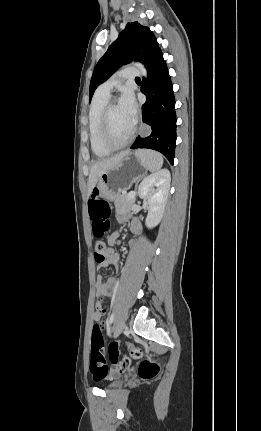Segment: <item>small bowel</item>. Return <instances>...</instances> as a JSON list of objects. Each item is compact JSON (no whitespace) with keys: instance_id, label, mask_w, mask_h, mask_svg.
Listing matches in <instances>:
<instances>
[{"instance_id":"c3829d8e","label":"small bowel","mask_w":261,"mask_h":431,"mask_svg":"<svg viewBox=\"0 0 261 431\" xmlns=\"http://www.w3.org/2000/svg\"><path fill=\"white\" fill-rule=\"evenodd\" d=\"M121 221H125L124 217H120ZM130 229L133 233H138L140 231V223L138 219H132L130 221ZM119 234L117 232H113L108 236V243L110 245H115L117 243ZM133 249L137 248V243L135 241H131L130 243ZM119 262V257L116 253H112L108 256L103 262L97 263V268L101 269L108 265H117ZM116 281L114 278H108L107 280H103L100 274L97 275L96 281V292H97V300L99 302H104L106 297H112L114 295ZM106 306L103 303H97L95 306V310L93 312V319L95 322H100L102 317L106 312Z\"/></svg>"}]
</instances>
